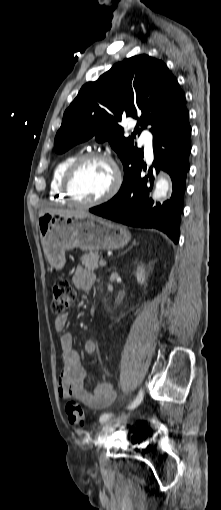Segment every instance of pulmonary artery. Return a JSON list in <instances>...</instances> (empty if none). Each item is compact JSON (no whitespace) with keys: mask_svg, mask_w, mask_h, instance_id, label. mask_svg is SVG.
I'll return each mask as SVG.
<instances>
[{"mask_svg":"<svg viewBox=\"0 0 221 510\" xmlns=\"http://www.w3.org/2000/svg\"><path fill=\"white\" fill-rule=\"evenodd\" d=\"M139 143L144 147L146 156L152 157L153 156L152 135L149 131H144L141 134Z\"/></svg>","mask_w":221,"mask_h":510,"instance_id":"obj_1","label":"pulmonary artery"}]
</instances>
